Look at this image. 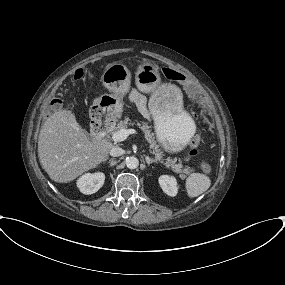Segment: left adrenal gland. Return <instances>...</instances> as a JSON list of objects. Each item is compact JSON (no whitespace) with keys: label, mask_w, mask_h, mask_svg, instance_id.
<instances>
[{"label":"left adrenal gland","mask_w":285,"mask_h":285,"mask_svg":"<svg viewBox=\"0 0 285 285\" xmlns=\"http://www.w3.org/2000/svg\"><path fill=\"white\" fill-rule=\"evenodd\" d=\"M146 163L148 164V166H150V164L152 163H156V161L154 159L149 158L148 156L145 157Z\"/></svg>","instance_id":"obj_1"}]
</instances>
